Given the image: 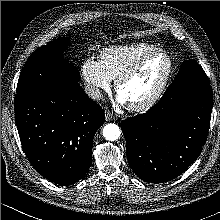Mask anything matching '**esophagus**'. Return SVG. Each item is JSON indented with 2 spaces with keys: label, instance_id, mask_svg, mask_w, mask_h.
<instances>
[{
  "label": "esophagus",
  "instance_id": "obj_1",
  "mask_svg": "<svg viewBox=\"0 0 220 220\" xmlns=\"http://www.w3.org/2000/svg\"><path fill=\"white\" fill-rule=\"evenodd\" d=\"M105 119L106 121H112L115 119V116L110 111H105Z\"/></svg>",
  "mask_w": 220,
  "mask_h": 220
}]
</instances>
